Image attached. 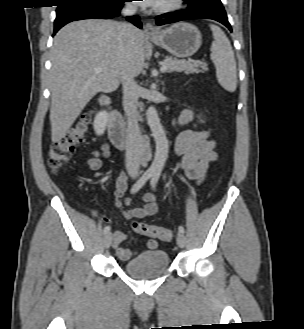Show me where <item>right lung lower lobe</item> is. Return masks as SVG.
Listing matches in <instances>:
<instances>
[{"mask_svg": "<svg viewBox=\"0 0 304 329\" xmlns=\"http://www.w3.org/2000/svg\"><path fill=\"white\" fill-rule=\"evenodd\" d=\"M129 0H112L109 2H78L58 6L54 22V34L69 22L82 19H108L120 14L123 3ZM137 27L142 24L138 16L127 17Z\"/></svg>", "mask_w": 304, "mask_h": 329, "instance_id": "98d812e1", "label": "right lung lower lobe"}]
</instances>
